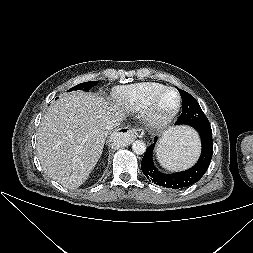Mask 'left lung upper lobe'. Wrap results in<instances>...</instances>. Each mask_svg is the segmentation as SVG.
Instances as JSON below:
<instances>
[{
  "label": "left lung upper lobe",
  "mask_w": 253,
  "mask_h": 253,
  "mask_svg": "<svg viewBox=\"0 0 253 253\" xmlns=\"http://www.w3.org/2000/svg\"><path fill=\"white\" fill-rule=\"evenodd\" d=\"M179 90L182 98V113L179 116L178 124L197 125L199 123H209L196 99L189 93Z\"/></svg>",
  "instance_id": "left-lung-upper-lobe-1"
}]
</instances>
